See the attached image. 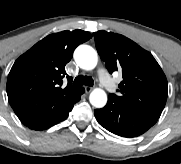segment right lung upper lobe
<instances>
[{
  "instance_id": "obj_1",
  "label": "right lung upper lobe",
  "mask_w": 181,
  "mask_h": 164,
  "mask_svg": "<svg viewBox=\"0 0 181 164\" xmlns=\"http://www.w3.org/2000/svg\"><path fill=\"white\" fill-rule=\"evenodd\" d=\"M91 37L89 32L79 29L54 33L15 61L6 90L17 116L53 113L69 104L83 90V87L70 83L62 88V78L74 49Z\"/></svg>"
}]
</instances>
